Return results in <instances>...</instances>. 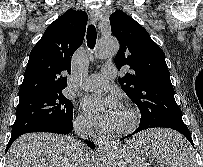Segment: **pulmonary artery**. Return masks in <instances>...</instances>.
I'll list each match as a JSON object with an SVG mask.
<instances>
[{"mask_svg": "<svg viewBox=\"0 0 203 167\" xmlns=\"http://www.w3.org/2000/svg\"><path fill=\"white\" fill-rule=\"evenodd\" d=\"M117 74L116 66L113 64H105L101 73L93 74L86 78L83 82V88L87 90H99L106 87L108 81L113 79Z\"/></svg>", "mask_w": 203, "mask_h": 167, "instance_id": "pulmonary-artery-1", "label": "pulmonary artery"}]
</instances>
